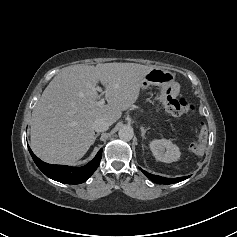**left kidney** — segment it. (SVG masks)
Returning <instances> with one entry per match:
<instances>
[{
  "label": "left kidney",
  "mask_w": 237,
  "mask_h": 237,
  "mask_svg": "<svg viewBox=\"0 0 237 237\" xmlns=\"http://www.w3.org/2000/svg\"><path fill=\"white\" fill-rule=\"evenodd\" d=\"M156 160L171 163L180 158V150L177 145L167 139H155L149 144Z\"/></svg>",
  "instance_id": "obj_1"
}]
</instances>
